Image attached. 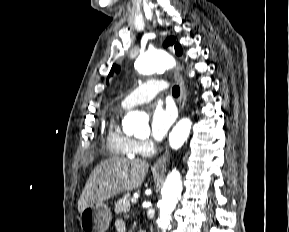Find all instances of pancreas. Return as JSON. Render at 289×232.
<instances>
[{
  "instance_id": "cf45deb5",
  "label": "pancreas",
  "mask_w": 289,
  "mask_h": 232,
  "mask_svg": "<svg viewBox=\"0 0 289 232\" xmlns=\"http://www.w3.org/2000/svg\"><path fill=\"white\" fill-rule=\"evenodd\" d=\"M131 196L129 194L123 195L121 199L117 201L115 204V213H125L130 210L131 204H130Z\"/></svg>"
}]
</instances>
